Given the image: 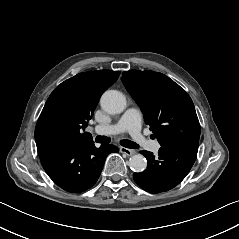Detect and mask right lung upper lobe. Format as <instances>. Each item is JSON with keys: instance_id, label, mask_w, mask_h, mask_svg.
I'll return each instance as SVG.
<instances>
[{"instance_id": "obj_1", "label": "right lung upper lobe", "mask_w": 239, "mask_h": 239, "mask_svg": "<svg viewBox=\"0 0 239 239\" xmlns=\"http://www.w3.org/2000/svg\"><path fill=\"white\" fill-rule=\"evenodd\" d=\"M120 75L119 71L100 70L77 74L64 81L51 93L35 129L36 145L50 142L74 144L92 141L83 132L102 93Z\"/></svg>"}]
</instances>
